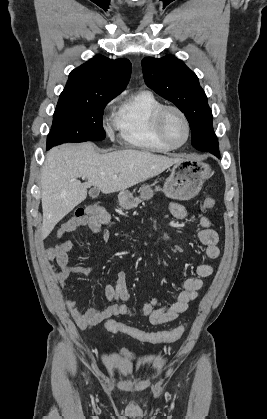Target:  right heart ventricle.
I'll use <instances>...</instances> for the list:
<instances>
[{
	"mask_svg": "<svg viewBox=\"0 0 267 419\" xmlns=\"http://www.w3.org/2000/svg\"><path fill=\"white\" fill-rule=\"evenodd\" d=\"M164 104L153 92L138 91L129 95L117 110L113 124L120 136L132 147L146 151L167 153L171 148L158 138L154 116Z\"/></svg>",
	"mask_w": 267,
	"mask_h": 419,
	"instance_id": "obj_1",
	"label": "right heart ventricle"
}]
</instances>
